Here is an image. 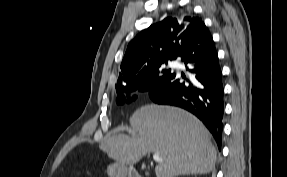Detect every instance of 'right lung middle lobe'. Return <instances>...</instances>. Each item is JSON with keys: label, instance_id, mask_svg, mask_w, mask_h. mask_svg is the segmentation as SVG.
Masks as SVG:
<instances>
[{"label": "right lung middle lobe", "instance_id": "right-lung-middle-lobe-1", "mask_svg": "<svg viewBox=\"0 0 287 177\" xmlns=\"http://www.w3.org/2000/svg\"><path fill=\"white\" fill-rule=\"evenodd\" d=\"M168 61L157 64L154 68H152L138 83L131 85H124L116 87V91L118 94L117 104H124L125 97L120 95V93H132L135 91L148 92L155 84H158L164 80H166L171 74L170 69H163L162 66L167 64ZM136 96H133L131 99H128L127 102L131 100H135Z\"/></svg>", "mask_w": 287, "mask_h": 177}]
</instances>
